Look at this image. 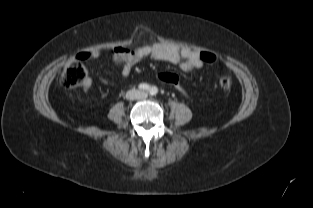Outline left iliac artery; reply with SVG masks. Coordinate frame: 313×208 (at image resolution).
<instances>
[{
  "mask_svg": "<svg viewBox=\"0 0 313 208\" xmlns=\"http://www.w3.org/2000/svg\"><path fill=\"white\" fill-rule=\"evenodd\" d=\"M157 93H158V88H157L156 86H152V87L150 88V94H151L152 96H155Z\"/></svg>",
  "mask_w": 313,
  "mask_h": 208,
  "instance_id": "1",
  "label": "left iliac artery"
}]
</instances>
